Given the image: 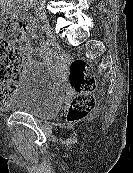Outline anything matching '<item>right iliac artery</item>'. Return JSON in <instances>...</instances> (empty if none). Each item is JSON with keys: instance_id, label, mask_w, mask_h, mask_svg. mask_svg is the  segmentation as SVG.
I'll return each mask as SVG.
<instances>
[{"instance_id": "1", "label": "right iliac artery", "mask_w": 133, "mask_h": 173, "mask_svg": "<svg viewBox=\"0 0 133 173\" xmlns=\"http://www.w3.org/2000/svg\"><path fill=\"white\" fill-rule=\"evenodd\" d=\"M43 47H48V41H43Z\"/></svg>"}]
</instances>
